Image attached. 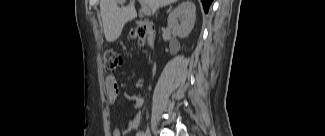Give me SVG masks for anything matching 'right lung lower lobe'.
<instances>
[{
	"instance_id": "obj_1",
	"label": "right lung lower lobe",
	"mask_w": 325,
	"mask_h": 136,
	"mask_svg": "<svg viewBox=\"0 0 325 136\" xmlns=\"http://www.w3.org/2000/svg\"><path fill=\"white\" fill-rule=\"evenodd\" d=\"M201 2L203 4L204 11L207 13L212 3V0H201Z\"/></svg>"
}]
</instances>
